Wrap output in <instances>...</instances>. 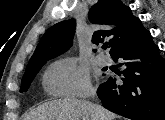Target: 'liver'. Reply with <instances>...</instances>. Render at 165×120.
Segmentation results:
<instances>
[{
  "label": "liver",
  "instance_id": "liver-1",
  "mask_svg": "<svg viewBox=\"0 0 165 120\" xmlns=\"http://www.w3.org/2000/svg\"><path fill=\"white\" fill-rule=\"evenodd\" d=\"M117 116L104 107L85 100H53L33 109L25 120H115Z\"/></svg>",
  "mask_w": 165,
  "mask_h": 120
}]
</instances>
